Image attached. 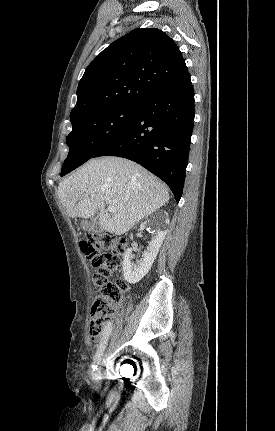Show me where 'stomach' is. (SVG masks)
Listing matches in <instances>:
<instances>
[{"label":"stomach","mask_w":275,"mask_h":431,"mask_svg":"<svg viewBox=\"0 0 275 431\" xmlns=\"http://www.w3.org/2000/svg\"><path fill=\"white\" fill-rule=\"evenodd\" d=\"M82 226H83V228H86V224L84 222L82 223Z\"/></svg>","instance_id":"0dacf381"}]
</instances>
